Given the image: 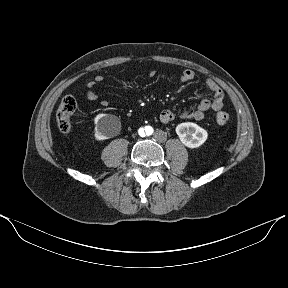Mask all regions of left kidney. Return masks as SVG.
<instances>
[{"instance_id":"obj_1","label":"left kidney","mask_w":288,"mask_h":288,"mask_svg":"<svg viewBox=\"0 0 288 288\" xmlns=\"http://www.w3.org/2000/svg\"><path fill=\"white\" fill-rule=\"evenodd\" d=\"M176 133L180 141L188 148L200 147L208 137L207 131L193 122L178 124Z\"/></svg>"}]
</instances>
